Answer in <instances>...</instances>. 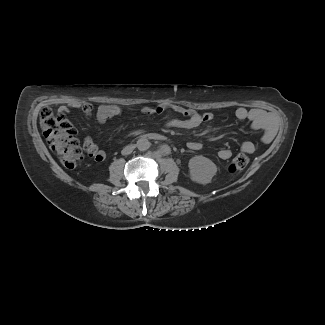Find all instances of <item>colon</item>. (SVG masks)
Instances as JSON below:
<instances>
[{
	"mask_svg": "<svg viewBox=\"0 0 325 325\" xmlns=\"http://www.w3.org/2000/svg\"><path fill=\"white\" fill-rule=\"evenodd\" d=\"M40 123L50 148L56 153L60 162L66 168H74L83 158V151L77 137L64 130L50 108L45 107L41 110ZM248 163L247 155L239 154L231 161L229 170L241 171Z\"/></svg>",
	"mask_w": 325,
	"mask_h": 325,
	"instance_id": "colon-1",
	"label": "colon"
}]
</instances>
